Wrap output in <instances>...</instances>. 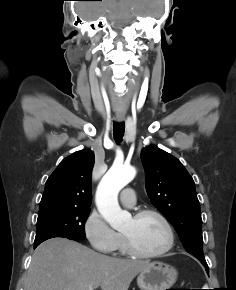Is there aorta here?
Returning a JSON list of instances; mask_svg holds the SVG:
<instances>
[{"label": "aorta", "instance_id": "1", "mask_svg": "<svg viewBox=\"0 0 236 290\" xmlns=\"http://www.w3.org/2000/svg\"><path fill=\"white\" fill-rule=\"evenodd\" d=\"M135 174L133 167L114 165L97 187L95 200L98 211L113 229L123 228L131 219L130 213L120 208L118 193L133 180Z\"/></svg>", "mask_w": 236, "mask_h": 290}]
</instances>
